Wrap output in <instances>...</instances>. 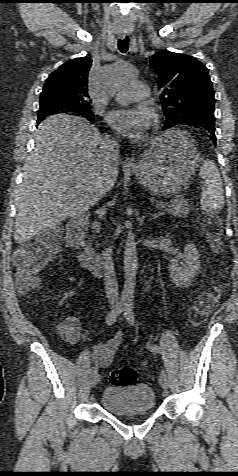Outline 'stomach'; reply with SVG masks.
<instances>
[{
  "instance_id": "0dacf381",
  "label": "stomach",
  "mask_w": 238,
  "mask_h": 476,
  "mask_svg": "<svg viewBox=\"0 0 238 476\" xmlns=\"http://www.w3.org/2000/svg\"><path fill=\"white\" fill-rule=\"evenodd\" d=\"M200 157L193 142L180 130L154 138L132 172L150 191L174 195L186 187L195 174Z\"/></svg>"
}]
</instances>
